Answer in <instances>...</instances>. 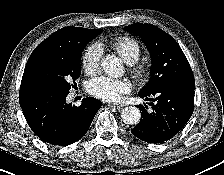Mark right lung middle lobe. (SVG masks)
Listing matches in <instances>:
<instances>
[{
  "instance_id": "right-lung-middle-lobe-1",
  "label": "right lung middle lobe",
  "mask_w": 224,
  "mask_h": 175,
  "mask_svg": "<svg viewBox=\"0 0 224 175\" xmlns=\"http://www.w3.org/2000/svg\"><path fill=\"white\" fill-rule=\"evenodd\" d=\"M95 36L65 48L34 50L24 69L20 88L48 87L69 91L81 73V56L84 47ZM75 84V82H74Z\"/></svg>"
}]
</instances>
